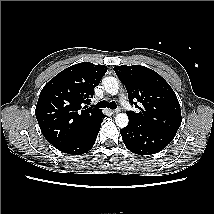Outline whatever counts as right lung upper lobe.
Segmentation results:
<instances>
[{"label":"right lung upper lobe","instance_id":"cb5924a9","mask_svg":"<svg viewBox=\"0 0 214 214\" xmlns=\"http://www.w3.org/2000/svg\"><path fill=\"white\" fill-rule=\"evenodd\" d=\"M106 71L105 65L78 63L43 87L35 114L44 137L58 150L73 144L102 117L100 109L87 105Z\"/></svg>","mask_w":214,"mask_h":214}]
</instances>
